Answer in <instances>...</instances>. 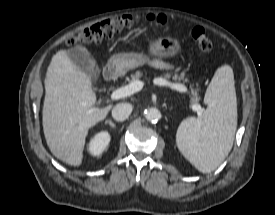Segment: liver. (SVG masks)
Segmentation results:
<instances>
[{
    "label": "liver",
    "instance_id": "liver-1",
    "mask_svg": "<svg viewBox=\"0 0 275 215\" xmlns=\"http://www.w3.org/2000/svg\"><path fill=\"white\" fill-rule=\"evenodd\" d=\"M80 48L90 55L85 47ZM91 66L98 69L92 57ZM92 80L72 62L65 50L53 56L45 78L42 112L45 139L52 154L71 166L82 164L89 129L104 120L111 109L110 106L94 107L96 94Z\"/></svg>",
    "mask_w": 275,
    "mask_h": 215
}]
</instances>
